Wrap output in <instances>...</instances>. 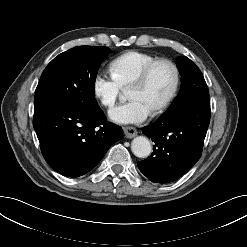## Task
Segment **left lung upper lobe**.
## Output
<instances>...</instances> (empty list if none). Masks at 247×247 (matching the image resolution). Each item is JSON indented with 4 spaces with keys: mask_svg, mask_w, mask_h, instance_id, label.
Returning <instances> with one entry per match:
<instances>
[{
    "mask_svg": "<svg viewBox=\"0 0 247 247\" xmlns=\"http://www.w3.org/2000/svg\"><path fill=\"white\" fill-rule=\"evenodd\" d=\"M175 61L180 71L182 84L169 111L181 110L199 97H209L207 84L196 64L185 56L177 57Z\"/></svg>",
    "mask_w": 247,
    "mask_h": 247,
    "instance_id": "obj_1",
    "label": "left lung upper lobe"
}]
</instances>
